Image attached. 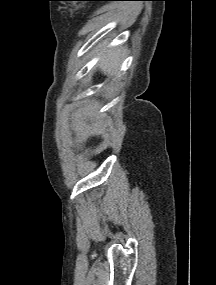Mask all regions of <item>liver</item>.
Listing matches in <instances>:
<instances>
[{"mask_svg":"<svg viewBox=\"0 0 216 285\" xmlns=\"http://www.w3.org/2000/svg\"><path fill=\"white\" fill-rule=\"evenodd\" d=\"M123 57L124 51L122 49H112L101 58L98 66L105 74H112L117 70ZM78 128L82 130L83 126L79 123Z\"/></svg>","mask_w":216,"mask_h":285,"instance_id":"1","label":"liver"}]
</instances>
